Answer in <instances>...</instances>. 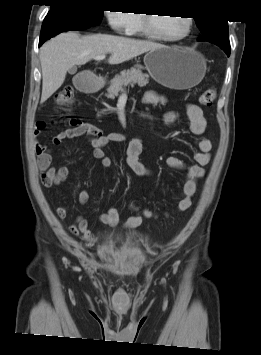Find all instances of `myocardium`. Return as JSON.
Segmentation results:
<instances>
[{
  "label": "myocardium",
  "mask_w": 261,
  "mask_h": 355,
  "mask_svg": "<svg viewBox=\"0 0 261 355\" xmlns=\"http://www.w3.org/2000/svg\"><path fill=\"white\" fill-rule=\"evenodd\" d=\"M152 15L151 13H146L144 15H142V30L143 33L145 35H147L148 37L152 38V39H156V40H161V41H166V42H179L185 38H187L193 28V19L190 16H185L184 19L186 21L187 24V28L185 30V32L183 34H181L180 36L177 37H168V36H164L160 33H158L152 24Z\"/></svg>",
  "instance_id": "f54148a6"
}]
</instances>
